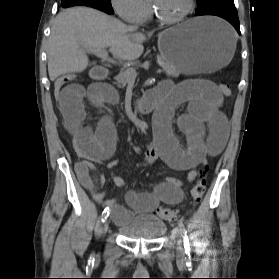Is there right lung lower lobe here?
Here are the masks:
<instances>
[{"instance_id":"obj_1","label":"right lung lower lobe","mask_w":279,"mask_h":279,"mask_svg":"<svg viewBox=\"0 0 279 279\" xmlns=\"http://www.w3.org/2000/svg\"><path fill=\"white\" fill-rule=\"evenodd\" d=\"M62 7L67 8L71 6H77V5H83V6H89L96 9H99L101 11H104L108 14H113L112 8H108L101 4L98 0H61Z\"/></svg>"}]
</instances>
